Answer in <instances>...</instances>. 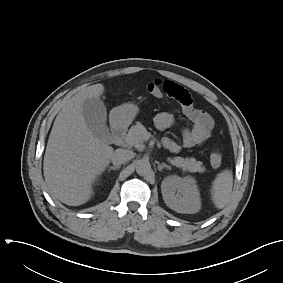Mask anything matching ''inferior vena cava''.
Masks as SVG:
<instances>
[{"label":"inferior vena cava","mask_w":283,"mask_h":283,"mask_svg":"<svg viewBox=\"0 0 283 283\" xmlns=\"http://www.w3.org/2000/svg\"><path fill=\"white\" fill-rule=\"evenodd\" d=\"M133 157V151L119 148L113 152L111 161L113 165L120 166L121 164L131 160Z\"/></svg>","instance_id":"obj_1"}]
</instances>
